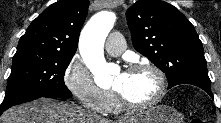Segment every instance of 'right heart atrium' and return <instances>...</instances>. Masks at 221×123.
Instances as JSON below:
<instances>
[{"instance_id":"right-heart-atrium-1","label":"right heart atrium","mask_w":221,"mask_h":123,"mask_svg":"<svg viewBox=\"0 0 221 123\" xmlns=\"http://www.w3.org/2000/svg\"><path fill=\"white\" fill-rule=\"evenodd\" d=\"M64 82L83 106L99 113L106 112L112 93L95 84L91 73L78 58L69 62Z\"/></svg>"}]
</instances>
